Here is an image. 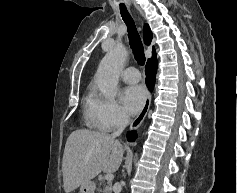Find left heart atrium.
Segmentation results:
<instances>
[{"label":"left heart atrium","instance_id":"obj_1","mask_svg":"<svg viewBox=\"0 0 237 193\" xmlns=\"http://www.w3.org/2000/svg\"><path fill=\"white\" fill-rule=\"evenodd\" d=\"M145 99L146 91L141 85L128 86L121 95L124 108L130 114L139 112L144 105Z\"/></svg>","mask_w":237,"mask_h":193}]
</instances>
